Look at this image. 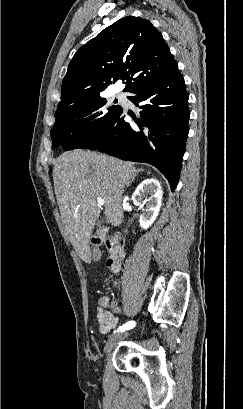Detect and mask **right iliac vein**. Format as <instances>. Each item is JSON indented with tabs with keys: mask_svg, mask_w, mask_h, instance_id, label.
I'll list each match as a JSON object with an SVG mask.
<instances>
[{
	"mask_svg": "<svg viewBox=\"0 0 243 409\" xmlns=\"http://www.w3.org/2000/svg\"><path fill=\"white\" fill-rule=\"evenodd\" d=\"M128 335H129L128 332H121V333L112 335L104 347V352L105 353L110 352L119 341L125 339Z\"/></svg>",
	"mask_w": 243,
	"mask_h": 409,
	"instance_id": "obj_1",
	"label": "right iliac vein"
}]
</instances>
